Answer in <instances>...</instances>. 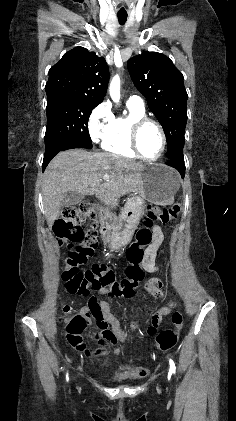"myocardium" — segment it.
Listing matches in <instances>:
<instances>
[{"label": "myocardium", "mask_w": 236, "mask_h": 421, "mask_svg": "<svg viewBox=\"0 0 236 421\" xmlns=\"http://www.w3.org/2000/svg\"><path fill=\"white\" fill-rule=\"evenodd\" d=\"M152 124L154 125L157 130L160 133L161 136V150L160 153L158 154L157 157L155 158H148L146 156H144L142 154V152L140 151L139 148V144H138V134L139 131L141 129V127L145 124ZM128 134H129V140L131 143V147L133 149V151L135 152V154L137 155V157H139L142 160L148 161V162H156L158 160H160L162 158V156L164 155L165 151H166V146H167V136L165 133V130L163 129V127L161 126V124L159 122H157L154 119L148 118L146 116H142V117H138L135 118L131 121L129 128H128Z\"/></svg>", "instance_id": "obj_1"}]
</instances>
